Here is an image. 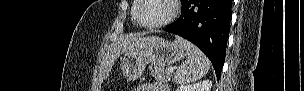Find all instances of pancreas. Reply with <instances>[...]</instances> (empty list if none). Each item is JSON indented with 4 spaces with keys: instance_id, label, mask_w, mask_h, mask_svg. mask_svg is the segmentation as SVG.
Here are the masks:
<instances>
[{
    "instance_id": "pancreas-1",
    "label": "pancreas",
    "mask_w": 304,
    "mask_h": 91,
    "mask_svg": "<svg viewBox=\"0 0 304 91\" xmlns=\"http://www.w3.org/2000/svg\"><path fill=\"white\" fill-rule=\"evenodd\" d=\"M151 75L158 81L168 82L172 76V72L168 70H163L161 68L153 67L151 68Z\"/></svg>"
}]
</instances>
